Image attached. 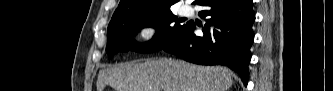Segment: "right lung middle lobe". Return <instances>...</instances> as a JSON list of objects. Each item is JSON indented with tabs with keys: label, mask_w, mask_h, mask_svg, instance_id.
<instances>
[{
	"label": "right lung middle lobe",
	"mask_w": 333,
	"mask_h": 91,
	"mask_svg": "<svg viewBox=\"0 0 333 91\" xmlns=\"http://www.w3.org/2000/svg\"><path fill=\"white\" fill-rule=\"evenodd\" d=\"M169 11L158 12L152 15L141 16L109 23L107 30L106 52L112 56L118 52L135 50L142 53H152L168 45L185 27ZM144 27H153L156 33L153 39L144 45L131 41L132 35Z\"/></svg>",
	"instance_id": "right-lung-middle-lobe-1"
}]
</instances>
